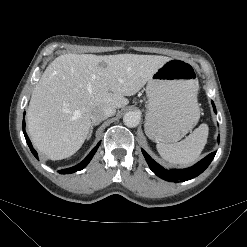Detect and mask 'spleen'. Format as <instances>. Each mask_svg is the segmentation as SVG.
Listing matches in <instances>:
<instances>
[{"label": "spleen", "instance_id": "1", "mask_svg": "<svg viewBox=\"0 0 247 247\" xmlns=\"http://www.w3.org/2000/svg\"><path fill=\"white\" fill-rule=\"evenodd\" d=\"M194 104L199 111L196 98ZM208 133V125L203 123L184 140L174 144L158 143L156 148L165 161L171 164L190 165L199 158L203 151L207 143Z\"/></svg>", "mask_w": 247, "mask_h": 247}]
</instances>
